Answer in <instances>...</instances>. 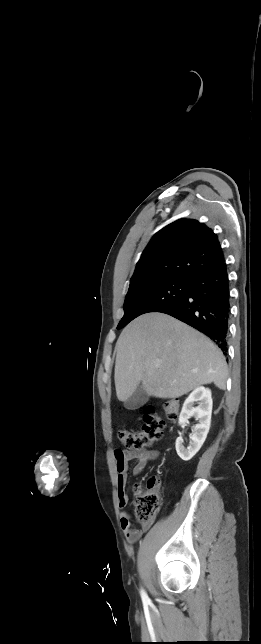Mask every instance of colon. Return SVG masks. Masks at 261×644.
<instances>
[{"mask_svg":"<svg viewBox=\"0 0 261 644\" xmlns=\"http://www.w3.org/2000/svg\"><path fill=\"white\" fill-rule=\"evenodd\" d=\"M179 401L169 399L165 401L163 410L170 420L177 418L179 413ZM164 420L152 406H146L143 411V425L139 432H131L126 429L118 431L120 442L128 449L142 450L151 447L159 441L163 435ZM161 506L159 491V480L150 477L145 486L136 488V517L141 523L153 520Z\"/></svg>","mask_w":261,"mask_h":644,"instance_id":"1","label":"colon"}]
</instances>
